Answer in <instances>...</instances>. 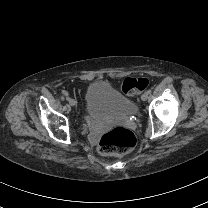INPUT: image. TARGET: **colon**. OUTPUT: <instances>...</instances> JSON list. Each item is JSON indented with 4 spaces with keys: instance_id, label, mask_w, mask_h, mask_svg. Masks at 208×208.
Masks as SVG:
<instances>
[{
    "instance_id": "5ec220e1",
    "label": "colon",
    "mask_w": 208,
    "mask_h": 208,
    "mask_svg": "<svg viewBox=\"0 0 208 208\" xmlns=\"http://www.w3.org/2000/svg\"><path fill=\"white\" fill-rule=\"evenodd\" d=\"M149 80L144 77L126 78L120 85V90L125 95H132L145 90ZM139 143V136L136 132L125 127H112L104 134L98 143L99 152L106 157L116 154H126Z\"/></svg>"
}]
</instances>
